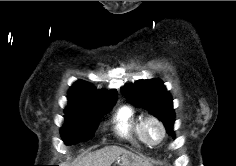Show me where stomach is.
<instances>
[{"instance_id":"1","label":"stomach","mask_w":236,"mask_h":166,"mask_svg":"<svg viewBox=\"0 0 236 166\" xmlns=\"http://www.w3.org/2000/svg\"><path fill=\"white\" fill-rule=\"evenodd\" d=\"M121 166H132L131 162L133 161V155H125L121 157Z\"/></svg>"}]
</instances>
